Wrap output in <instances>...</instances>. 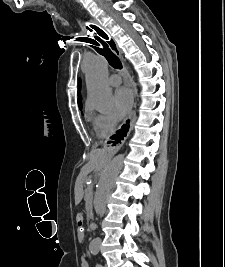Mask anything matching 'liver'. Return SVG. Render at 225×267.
<instances>
[{
    "mask_svg": "<svg viewBox=\"0 0 225 267\" xmlns=\"http://www.w3.org/2000/svg\"><path fill=\"white\" fill-rule=\"evenodd\" d=\"M103 164L102 151L100 149L93 150L90 155V162L83 168L82 175H86ZM83 196L82 188L76 186L75 189V202L78 204Z\"/></svg>",
    "mask_w": 225,
    "mask_h": 267,
    "instance_id": "1",
    "label": "liver"
}]
</instances>
